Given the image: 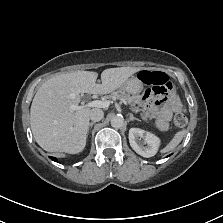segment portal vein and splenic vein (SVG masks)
<instances>
[{"label":"portal vein and splenic vein","instance_id":"portal-vein-and-splenic-vein-1","mask_svg":"<svg viewBox=\"0 0 223 223\" xmlns=\"http://www.w3.org/2000/svg\"><path fill=\"white\" fill-rule=\"evenodd\" d=\"M120 100H121V99H120ZM121 101L123 102V104H124L125 106L128 107V103L126 102V100H125L124 98H123ZM112 103H113L112 100H104V101H98V100H96V101L91 102V106H95V107H99V108L108 109L109 106H110ZM71 108H72V110H74V111H76V110L79 109V107H78V106H75V105H73Z\"/></svg>","mask_w":223,"mask_h":223}]
</instances>
